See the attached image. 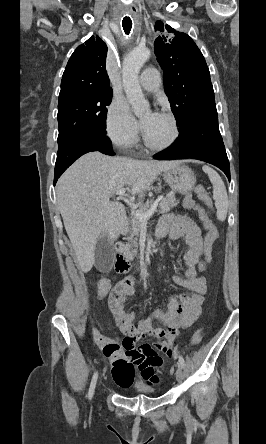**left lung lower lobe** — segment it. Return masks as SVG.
Instances as JSON below:
<instances>
[{
    "label": "left lung lower lobe",
    "instance_id": "1",
    "mask_svg": "<svg viewBox=\"0 0 266 444\" xmlns=\"http://www.w3.org/2000/svg\"><path fill=\"white\" fill-rule=\"evenodd\" d=\"M172 147L154 156L157 160L193 158L220 168L230 181V166L218 127L216 109L190 117L181 127Z\"/></svg>",
    "mask_w": 266,
    "mask_h": 444
}]
</instances>
